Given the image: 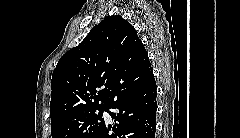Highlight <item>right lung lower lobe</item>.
Instances as JSON below:
<instances>
[{"mask_svg":"<svg viewBox=\"0 0 240 138\" xmlns=\"http://www.w3.org/2000/svg\"><path fill=\"white\" fill-rule=\"evenodd\" d=\"M156 96V83L152 74L143 83L111 102L107 112L117 121L116 126L104 124L94 138H155ZM111 108L119 112H110Z\"/></svg>","mask_w":240,"mask_h":138,"instance_id":"obj_1","label":"right lung lower lobe"}]
</instances>
